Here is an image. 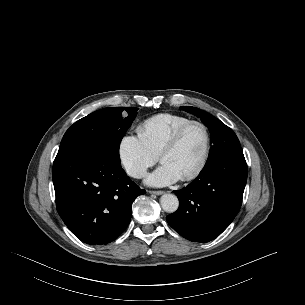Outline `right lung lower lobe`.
<instances>
[{
	"mask_svg": "<svg viewBox=\"0 0 305 305\" xmlns=\"http://www.w3.org/2000/svg\"><path fill=\"white\" fill-rule=\"evenodd\" d=\"M52 179L60 217L91 245L115 240L130 222L133 201L145 194L120 164L91 152L55 159Z\"/></svg>",
	"mask_w": 305,
	"mask_h": 305,
	"instance_id": "98d812e1",
	"label": "right lung lower lobe"
}]
</instances>
